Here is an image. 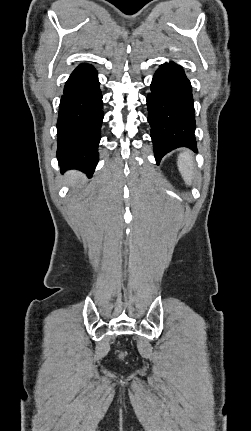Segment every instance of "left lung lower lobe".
Masks as SVG:
<instances>
[{
    "mask_svg": "<svg viewBox=\"0 0 251 431\" xmlns=\"http://www.w3.org/2000/svg\"><path fill=\"white\" fill-rule=\"evenodd\" d=\"M150 87L148 121L157 163L178 147L196 151L192 87L182 67L172 61L160 65Z\"/></svg>",
    "mask_w": 251,
    "mask_h": 431,
    "instance_id": "obj_1",
    "label": "left lung lower lobe"
}]
</instances>
